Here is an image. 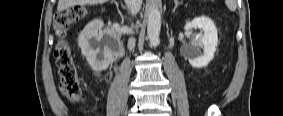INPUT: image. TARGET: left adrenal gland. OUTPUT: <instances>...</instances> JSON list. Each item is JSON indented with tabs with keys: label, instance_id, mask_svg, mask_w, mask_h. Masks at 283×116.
<instances>
[{
	"label": "left adrenal gland",
	"instance_id": "1",
	"mask_svg": "<svg viewBox=\"0 0 283 116\" xmlns=\"http://www.w3.org/2000/svg\"><path fill=\"white\" fill-rule=\"evenodd\" d=\"M174 9H173V13L176 11L177 7L180 5V3L178 1H174Z\"/></svg>",
	"mask_w": 283,
	"mask_h": 116
}]
</instances>
